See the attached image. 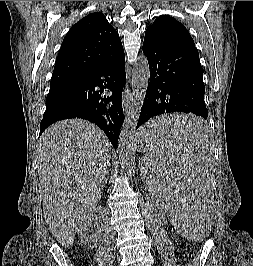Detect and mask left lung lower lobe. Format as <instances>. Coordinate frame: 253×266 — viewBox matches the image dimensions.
<instances>
[{
    "mask_svg": "<svg viewBox=\"0 0 253 266\" xmlns=\"http://www.w3.org/2000/svg\"><path fill=\"white\" fill-rule=\"evenodd\" d=\"M143 52L150 67V81L137 128L164 113H193L207 119L203 68L195 45L160 35H145ZM204 130L205 123L199 118L186 123L151 126L146 136L150 140L171 136L193 140Z\"/></svg>",
    "mask_w": 253,
    "mask_h": 266,
    "instance_id": "1",
    "label": "left lung lower lobe"
}]
</instances>
